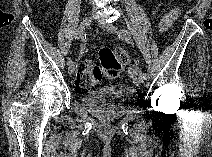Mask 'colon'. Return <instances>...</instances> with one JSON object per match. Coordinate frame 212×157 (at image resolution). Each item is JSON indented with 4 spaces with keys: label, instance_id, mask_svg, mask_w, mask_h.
<instances>
[{
    "label": "colon",
    "instance_id": "obj_1",
    "mask_svg": "<svg viewBox=\"0 0 212 157\" xmlns=\"http://www.w3.org/2000/svg\"><path fill=\"white\" fill-rule=\"evenodd\" d=\"M100 66L88 64L79 67L75 82V90L78 93L87 92L91 87L97 85L103 76L116 79L127 66L132 64L130 55L123 49L102 47L99 50Z\"/></svg>",
    "mask_w": 212,
    "mask_h": 157
}]
</instances>
